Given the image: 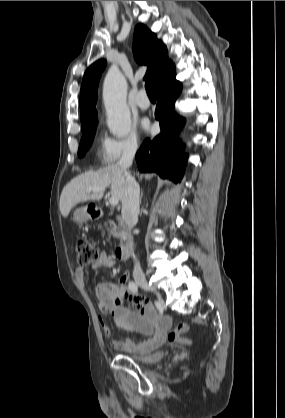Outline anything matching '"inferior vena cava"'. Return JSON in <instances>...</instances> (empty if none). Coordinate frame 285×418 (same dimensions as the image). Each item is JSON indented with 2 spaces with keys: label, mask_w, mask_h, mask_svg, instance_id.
I'll return each mask as SVG.
<instances>
[{
  "label": "inferior vena cava",
  "mask_w": 285,
  "mask_h": 418,
  "mask_svg": "<svg viewBox=\"0 0 285 418\" xmlns=\"http://www.w3.org/2000/svg\"><path fill=\"white\" fill-rule=\"evenodd\" d=\"M137 150L136 144L128 145L124 151L120 160L117 162V168L125 175V189L122 197V218L129 227H134L138 221L139 213V193L140 188L134 177L128 172L129 167L132 165L133 158ZM135 275H141L142 269L139 261L135 262L134 271Z\"/></svg>",
  "instance_id": "602c4592"
}]
</instances>
